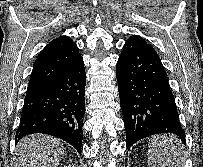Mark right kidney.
<instances>
[{"label":"right kidney","instance_id":"right-kidney-1","mask_svg":"<svg viewBox=\"0 0 203 167\" xmlns=\"http://www.w3.org/2000/svg\"><path fill=\"white\" fill-rule=\"evenodd\" d=\"M65 167H74V166H72V165L69 164V165H67V166H65Z\"/></svg>","mask_w":203,"mask_h":167}]
</instances>
